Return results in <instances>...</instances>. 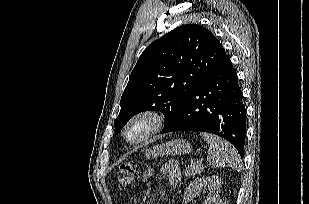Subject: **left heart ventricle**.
<instances>
[{"label":"left heart ventricle","instance_id":"1","mask_svg":"<svg viewBox=\"0 0 309 204\" xmlns=\"http://www.w3.org/2000/svg\"><path fill=\"white\" fill-rule=\"evenodd\" d=\"M148 128H149V123L146 121H142V122L134 124L128 132L130 139L135 140V139L142 137L146 133Z\"/></svg>","mask_w":309,"mask_h":204}]
</instances>
